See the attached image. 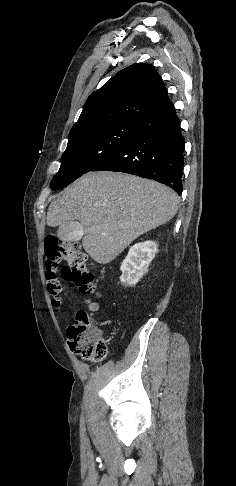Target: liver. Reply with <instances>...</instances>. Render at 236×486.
<instances>
[{
	"instance_id": "6515ba94",
	"label": "liver",
	"mask_w": 236,
	"mask_h": 486,
	"mask_svg": "<svg viewBox=\"0 0 236 486\" xmlns=\"http://www.w3.org/2000/svg\"><path fill=\"white\" fill-rule=\"evenodd\" d=\"M179 199L169 187L120 172H89L51 202L50 227L79 220L84 250L108 264L140 235L168 222Z\"/></svg>"
}]
</instances>
